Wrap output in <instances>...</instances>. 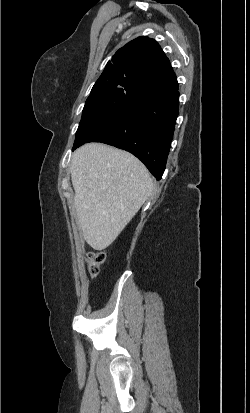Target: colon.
Wrapping results in <instances>:
<instances>
[{"label":"colon","instance_id":"1","mask_svg":"<svg viewBox=\"0 0 250 413\" xmlns=\"http://www.w3.org/2000/svg\"><path fill=\"white\" fill-rule=\"evenodd\" d=\"M105 260V254L102 252H91L87 258L88 271L91 276L99 273L100 266Z\"/></svg>","mask_w":250,"mask_h":413}]
</instances>
